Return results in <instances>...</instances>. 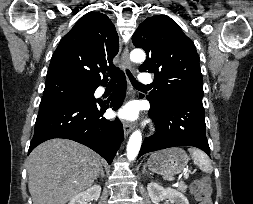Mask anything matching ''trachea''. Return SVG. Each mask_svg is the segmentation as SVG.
I'll return each instance as SVG.
<instances>
[{"instance_id": "3493384b", "label": "trachea", "mask_w": 253, "mask_h": 204, "mask_svg": "<svg viewBox=\"0 0 253 204\" xmlns=\"http://www.w3.org/2000/svg\"><path fill=\"white\" fill-rule=\"evenodd\" d=\"M126 73H127L128 77H129V79H130V81H131V83H132V85H133L134 87H136V88L146 87V86L142 85L140 82H138V81L134 78V76L132 75V73H131L129 70H126ZM110 77H111V80H110V82L108 83V85H109V86H115V84H116V76H115V74H111Z\"/></svg>"}]
</instances>
